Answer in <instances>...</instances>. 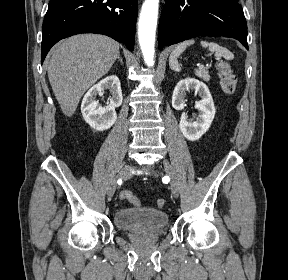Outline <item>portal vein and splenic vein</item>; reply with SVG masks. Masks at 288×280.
<instances>
[{
    "label": "portal vein and splenic vein",
    "instance_id": "obj_1",
    "mask_svg": "<svg viewBox=\"0 0 288 280\" xmlns=\"http://www.w3.org/2000/svg\"><path fill=\"white\" fill-rule=\"evenodd\" d=\"M198 67L201 69L203 66H202V65H200V64H198Z\"/></svg>",
    "mask_w": 288,
    "mask_h": 280
}]
</instances>
